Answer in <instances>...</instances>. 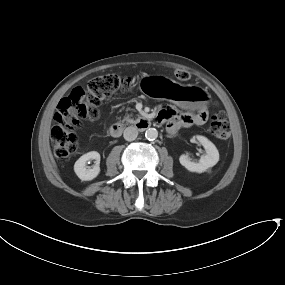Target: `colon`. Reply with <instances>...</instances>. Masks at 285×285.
I'll return each instance as SVG.
<instances>
[{
  "label": "colon",
  "mask_w": 285,
  "mask_h": 285,
  "mask_svg": "<svg viewBox=\"0 0 285 285\" xmlns=\"http://www.w3.org/2000/svg\"><path fill=\"white\" fill-rule=\"evenodd\" d=\"M175 76L185 82L190 78L186 70L177 69ZM134 80L130 76L104 74L90 80L86 86H76L63 97L54 115L51 140L54 155L59 161L67 160L77 150L76 130L84 119L96 117L100 103L120 90H130ZM159 122L161 118H157ZM210 132L218 140H226L230 135L227 116L224 111L216 110L211 118Z\"/></svg>",
  "instance_id": "1"
}]
</instances>
